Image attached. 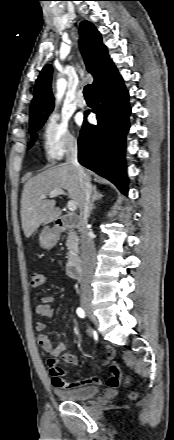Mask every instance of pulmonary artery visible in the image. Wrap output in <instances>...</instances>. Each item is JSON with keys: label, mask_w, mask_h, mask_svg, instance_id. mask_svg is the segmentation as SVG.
I'll return each mask as SVG.
<instances>
[{"label": "pulmonary artery", "mask_w": 174, "mask_h": 440, "mask_svg": "<svg viewBox=\"0 0 174 440\" xmlns=\"http://www.w3.org/2000/svg\"><path fill=\"white\" fill-rule=\"evenodd\" d=\"M76 104L80 108H84L87 105L86 100L81 95L76 99Z\"/></svg>", "instance_id": "obj_1"}]
</instances>
